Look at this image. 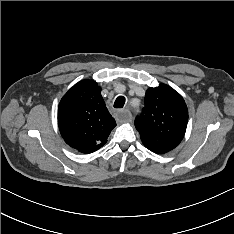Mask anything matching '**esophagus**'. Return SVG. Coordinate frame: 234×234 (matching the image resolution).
<instances>
[{"label":"esophagus","mask_w":234,"mask_h":234,"mask_svg":"<svg viewBox=\"0 0 234 234\" xmlns=\"http://www.w3.org/2000/svg\"><path fill=\"white\" fill-rule=\"evenodd\" d=\"M119 117L121 120H123L124 122H131L132 120V114L129 110L124 109L119 111Z\"/></svg>","instance_id":"obj_1"}]
</instances>
